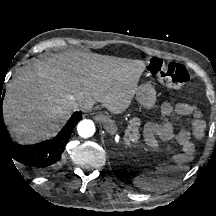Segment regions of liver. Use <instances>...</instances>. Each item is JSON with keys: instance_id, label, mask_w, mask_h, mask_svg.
<instances>
[{"instance_id": "1", "label": "liver", "mask_w": 216, "mask_h": 216, "mask_svg": "<svg viewBox=\"0 0 216 216\" xmlns=\"http://www.w3.org/2000/svg\"><path fill=\"white\" fill-rule=\"evenodd\" d=\"M146 64L111 57L45 55L24 68L6 93L4 114L12 132L32 141L59 127L81 98L108 109L134 97Z\"/></svg>"}]
</instances>
